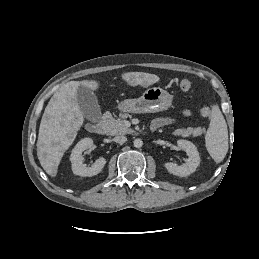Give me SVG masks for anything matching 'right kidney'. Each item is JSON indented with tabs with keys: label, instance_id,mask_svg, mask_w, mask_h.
<instances>
[{
	"label": "right kidney",
	"instance_id": "obj_1",
	"mask_svg": "<svg viewBox=\"0 0 259 259\" xmlns=\"http://www.w3.org/2000/svg\"><path fill=\"white\" fill-rule=\"evenodd\" d=\"M92 147L93 140L91 138H83L77 143V145L72 150L70 160L72 163V171L75 175H79L82 177H91L100 173L104 168L106 164V159L103 157L97 159L95 163L90 167H86L83 164L84 157L82 153H89Z\"/></svg>",
	"mask_w": 259,
	"mask_h": 259
}]
</instances>
